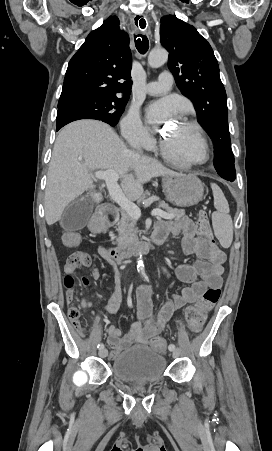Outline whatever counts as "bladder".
<instances>
[{
  "instance_id": "31cf9c89",
  "label": "bladder",
  "mask_w": 272,
  "mask_h": 451,
  "mask_svg": "<svg viewBox=\"0 0 272 451\" xmlns=\"http://www.w3.org/2000/svg\"><path fill=\"white\" fill-rule=\"evenodd\" d=\"M166 357L146 346L137 345L122 352L111 364L112 375L120 382L149 384L158 382L165 373Z\"/></svg>"
}]
</instances>
